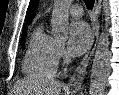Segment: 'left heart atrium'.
<instances>
[{
    "label": "left heart atrium",
    "mask_w": 119,
    "mask_h": 95,
    "mask_svg": "<svg viewBox=\"0 0 119 95\" xmlns=\"http://www.w3.org/2000/svg\"><path fill=\"white\" fill-rule=\"evenodd\" d=\"M91 41L89 26L80 20L73 21L70 26L68 52L73 56L81 55Z\"/></svg>",
    "instance_id": "obj_1"
}]
</instances>
